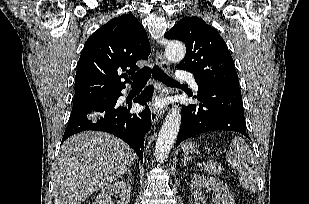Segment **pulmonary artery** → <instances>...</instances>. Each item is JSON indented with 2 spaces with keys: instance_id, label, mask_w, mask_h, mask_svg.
I'll return each mask as SVG.
<instances>
[{
  "instance_id": "1",
  "label": "pulmonary artery",
  "mask_w": 309,
  "mask_h": 204,
  "mask_svg": "<svg viewBox=\"0 0 309 204\" xmlns=\"http://www.w3.org/2000/svg\"><path fill=\"white\" fill-rule=\"evenodd\" d=\"M177 76L180 79L186 80L194 90L198 89V85H197V83L194 79V76L190 72L179 71V72H177Z\"/></svg>"
}]
</instances>
